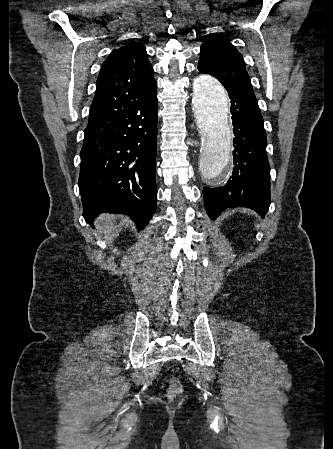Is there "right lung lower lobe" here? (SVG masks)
Returning <instances> with one entry per match:
<instances>
[{
    "mask_svg": "<svg viewBox=\"0 0 333 449\" xmlns=\"http://www.w3.org/2000/svg\"><path fill=\"white\" fill-rule=\"evenodd\" d=\"M157 118L154 89L88 123L78 181L87 223L109 212L129 215L138 229L147 226L156 209Z\"/></svg>",
    "mask_w": 333,
    "mask_h": 449,
    "instance_id": "obj_1",
    "label": "right lung lower lobe"
}]
</instances>
